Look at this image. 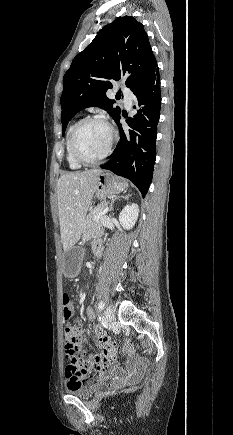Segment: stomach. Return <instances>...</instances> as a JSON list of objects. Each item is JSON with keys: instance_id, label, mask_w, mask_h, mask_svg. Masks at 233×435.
Instances as JSON below:
<instances>
[{"instance_id": "stomach-1", "label": "stomach", "mask_w": 233, "mask_h": 435, "mask_svg": "<svg viewBox=\"0 0 233 435\" xmlns=\"http://www.w3.org/2000/svg\"><path fill=\"white\" fill-rule=\"evenodd\" d=\"M128 187L127 182L115 178L111 173L102 172L97 176L95 184V194L97 198L104 200L106 196L116 195L125 191ZM83 259V249L72 246L64 250L62 254L63 273L67 278H75L81 270Z\"/></svg>"}]
</instances>
